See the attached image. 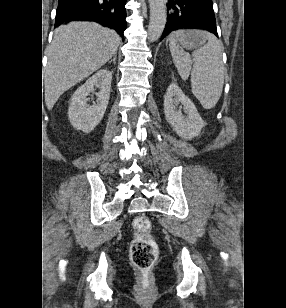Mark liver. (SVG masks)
<instances>
[{
	"mask_svg": "<svg viewBox=\"0 0 286 308\" xmlns=\"http://www.w3.org/2000/svg\"><path fill=\"white\" fill-rule=\"evenodd\" d=\"M120 36L92 22H71L55 29L44 74L45 104L53 108L68 89L100 69L117 52Z\"/></svg>",
	"mask_w": 286,
	"mask_h": 308,
	"instance_id": "liver-1",
	"label": "liver"
}]
</instances>
